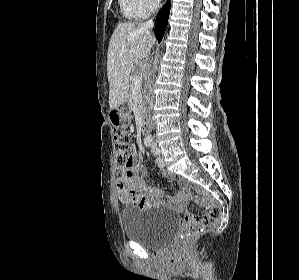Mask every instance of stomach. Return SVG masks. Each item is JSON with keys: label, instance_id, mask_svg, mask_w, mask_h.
I'll return each instance as SVG.
<instances>
[{"label": "stomach", "instance_id": "obj_1", "mask_svg": "<svg viewBox=\"0 0 299 280\" xmlns=\"http://www.w3.org/2000/svg\"><path fill=\"white\" fill-rule=\"evenodd\" d=\"M108 120L115 128H126L130 124V108L128 104H122L108 113Z\"/></svg>", "mask_w": 299, "mask_h": 280}]
</instances>
